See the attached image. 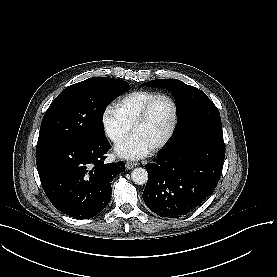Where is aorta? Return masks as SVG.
I'll return each instance as SVG.
<instances>
[{"mask_svg":"<svg viewBox=\"0 0 277 277\" xmlns=\"http://www.w3.org/2000/svg\"><path fill=\"white\" fill-rule=\"evenodd\" d=\"M131 179L137 185L146 184L148 180V172L145 168H135L131 172Z\"/></svg>","mask_w":277,"mask_h":277,"instance_id":"obj_1","label":"aorta"}]
</instances>
